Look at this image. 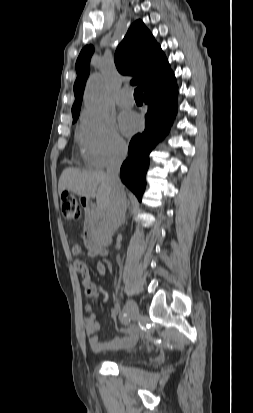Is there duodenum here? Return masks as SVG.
<instances>
[{
	"label": "duodenum",
	"mask_w": 253,
	"mask_h": 413,
	"mask_svg": "<svg viewBox=\"0 0 253 413\" xmlns=\"http://www.w3.org/2000/svg\"><path fill=\"white\" fill-rule=\"evenodd\" d=\"M82 206L87 214L92 213L93 205L89 200L83 199ZM84 237L88 244L89 250L93 255H107V250L102 244L98 226L94 222H91L87 225L84 231Z\"/></svg>",
	"instance_id": "410a0bca"
}]
</instances>
